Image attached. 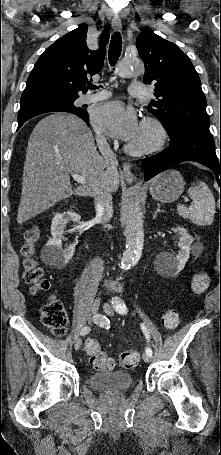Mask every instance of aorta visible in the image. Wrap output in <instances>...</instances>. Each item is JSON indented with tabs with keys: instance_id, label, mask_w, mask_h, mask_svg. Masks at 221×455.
Returning a JSON list of instances; mask_svg holds the SVG:
<instances>
[{
	"instance_id": "762f6f07",
	"label": "aorta",
	"mask_w": 221,
	"mask_h": 455,
	"mask_svg": "<svg viewBox=\"0 0 221 455\" xmlns=\"http://www.w3.org/2000/svg\"><path fill=\"white\" fill-rule=\"evenodd\" d=\"M143 72L144 65L138 58L125 57L118 65V75L122 78L140 75ZM125 237L126 248L121 265L126 269L138 262L143 250V214L137 198H130L125 207Z\"/></svg>"
}]
</instances>
